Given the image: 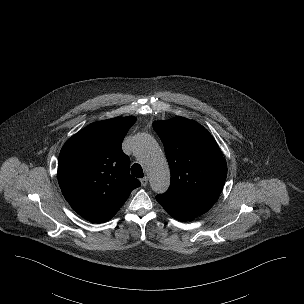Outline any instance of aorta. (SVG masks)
Instances as JSON below:
<instances>
[{
  "label": "aorta",
  "instance_id": "aorta-1",
  "mask_svg": "<svg viewBox=\"0 0 304 304\" xmlns=\"http://www.w3.org/2000/svg\"><path fill=\"white\" fill-rule=\"evenodd\" d=\"M133 151L145 166L152 190L158 194L165 192L170 185L168 162L156 141L147 133L136 135Z\"/></svg>",
  "mask_w": 304,
  "mask_h": 304
}]
</instances>
